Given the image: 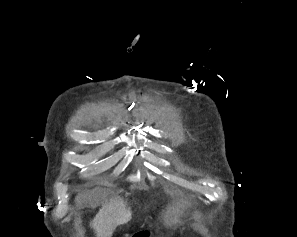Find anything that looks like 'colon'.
Instances as JSON below:
<instances>
[{"mask_svg":"<svg viewBox=\"0 0 297 237\" xmlns=\"http://www.w3.org/2000/svg\"><path fill=\"white\" fill-rule=\"evenodd\" d=\"M133 237H149V235H148V233H146V232H142V233H138V234H136V235L133 236Z\"/></svg>","mask_w":297,"mask_h":237,"instance_id":"5ec220e1","label":"colon"}]
</instances>
